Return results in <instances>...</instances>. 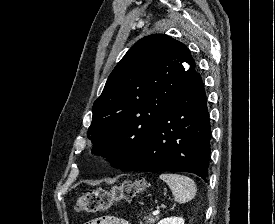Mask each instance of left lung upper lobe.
<instances>
[{"instance_id": "obj_1", "label": "left lung upper lobe", "mask_w": 275, "mask_h": 224, "mask_svg": "<svg viewBox=\"0 0 275 224\" xmlns=\"http://www.w3.org/2000/svg\"><path fill=\"white\" fill-rule=\"evenodd\" d=\"M195 73L194 61L183 43L163 34L136 42L93 104L89 134L108 142L94 143L92 152L102 150L119 169L133 162L153 126Z\"/></svg>"}]
</instances>
